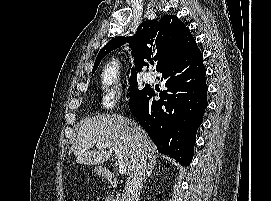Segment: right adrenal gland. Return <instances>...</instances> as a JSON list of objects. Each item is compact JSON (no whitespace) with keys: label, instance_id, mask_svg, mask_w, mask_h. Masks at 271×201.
Masks as SVG:
<instances>
[{"label":"right adrenal gland","instance_id":"1","mask_svg":"<svg viewBox=\"0 0 271 201\" xmlns=\"http://www.w3.org/2000/svg\"><path fill=\"white\" fill-rule=\"evenodd\" d=\"M155 165H156V159H151L150 162H149V164H148V167H147V170H146V174L144 175V179H143L144 183H146L148 177L154 171Z\"/></svg>","mask_w":271,"mask_h":201}]
</instances>
